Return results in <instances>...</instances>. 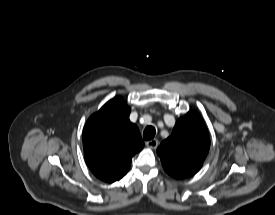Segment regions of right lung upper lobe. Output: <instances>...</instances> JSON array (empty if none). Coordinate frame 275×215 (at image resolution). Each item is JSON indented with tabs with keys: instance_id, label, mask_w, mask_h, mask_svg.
<instances>
[{
	"instance_id": "obj_1",
	"label": "right lung upper lobe",
	"mask_w": 275,
	"mask_h": 215,
	"mask_svg": "<svg viewBox=\"0 0 275 215\" xmlns=\"http://www.w3.org/2000/svg\"><path fill=\"white\" fill-rule=\"evenodd\" d=\"M129 115L130 108L123 98L115 97L85 124L86 163L105 182L121 179L129 170L132 157L144 147L139 129L130 122Z\"/></svg>"
}]
</instances>
